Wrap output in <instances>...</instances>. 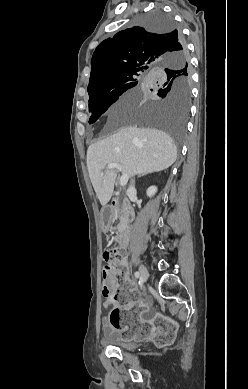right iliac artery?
<instances>
[{"label": "right iliac artery", "mask_w": 248, "mask_h": 389, "mask_svg": "<svg viewBox=\"0 0 248 389\" xmlns=\"http://www.w3.org/2000/svg\"><path fill=\"white\" fill-rule=\"evenodd\" d=\"M135 277L138 279L140 277V273L139 272H135Z\"/></svg>", "instance_id": "1"}]
</instances>
